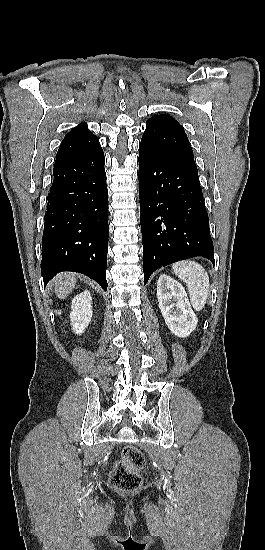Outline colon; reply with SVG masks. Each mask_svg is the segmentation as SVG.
I'll list each match as a JSON object with an SVG mask.
<instances>
[{
	"instance_id": "obj_1",
	"label": "colon",
	"mask_w": 265,
	"mask_h": 550,
	"mask_svg": "<svg viewBox=\"0 0 265 550\" xmlns=\"http://www.w3.org/2000/svg\"><path fill=\"white\" fill-rule=\"evenodd\" d=\"M145 457L135 446H127L110 474V485L118 491H132L142 484L140 472L145 467Z\"/></svg>"
}]
</instances>
